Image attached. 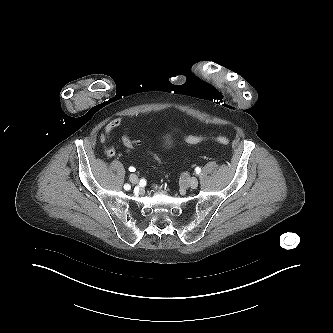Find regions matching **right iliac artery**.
Listing matches in <instances>:
<instances>
[{"label": "right iliac artery", "mask_w": 333, "mask_h": 333, "mask_svg": "<svg viewBox=\"0 0 333 333\" xmlns=\"http://www.w3.org/2000/svg\"><path fill=\"white\" fill-rule=\"evenodd\" d=\"M130 188H131V186H130L129 184H125V185H124V189H125V190H130Z\"/></svg>", "instance_id": "right-iliac-artery-1"}]
</instances>
